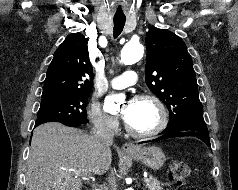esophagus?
<instances>
[{
	"label": "esophagus",
	"instance_id": "1",
	"mask_svg": "<svg viewBox=\"0 0 238 190\" xmlns=\"http://www.w3.org/2000/svg\"><path fill=\"white\" fill-rule=\"evenodd\" d=\"M136 150V146L132 142H126L122 145L123 152H132Z\"/></svg>",
	"mask_w": 238,
	"mask_h": 190
}]
</instances>
